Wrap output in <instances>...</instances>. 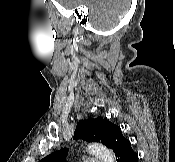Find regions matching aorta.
Listing matches in <instances>:
<instances>
[{
  "mask_svg": "<svg viewBox=\"0 0 175 162\" xmlns=\"http://www.w3.org/2000/svg\"><path fill=\"white\" fill-rule=\"evenodd\" d=\"M87 151L98 157L101 162H116L114 153L106 146L98 143L89 144Z\"/></svg>",
  "mask_w": 175,
  "mask_h": 162,
  "instance_id": "obj_1",
  "label": "aorta"
}]
</instances>
